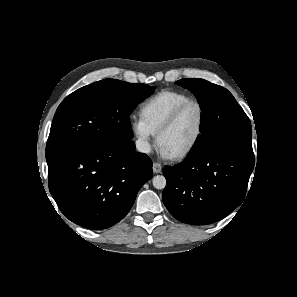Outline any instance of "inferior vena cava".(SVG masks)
<instances>
[{"instance_id": "inferior-vena-cava-1", "label": "inferior vena cava", "mask_w": 297, "mask_h": 297, "mask_svg": "<svg viewBox=\"0 0 297 297\" xmlns=\"http://www.w3.org/2000/svg\"><path fill=\"white\" fill-rule=\"evenodd\" d=\"M135 145L139 152H142V153H150L151 152V146H150L149 142L146 140L138 139L136 141Z\"/></svg>"}]
</instances>
